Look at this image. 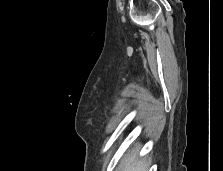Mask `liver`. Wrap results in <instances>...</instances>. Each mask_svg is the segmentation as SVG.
Returning a JSON list of instances; mask_svg holds the SVG:
<instances>
[{
	"label": "liver",
	"mask_w": 223,
	"mask_h": 171,
	"mask_svg": "<svg viewBox=\"0 0 223 171\" xmlns=\"http://www.w3.org/2000/svg\"><path fill=\"white\" fill-rule=\"evenodd\" d=\"M138 148L133 149L125 155L119 165V171H148L151 164L150 159H141L136 161Z\"/></svg>",
	"instance_id": "obj_1"
}]
</instances>
